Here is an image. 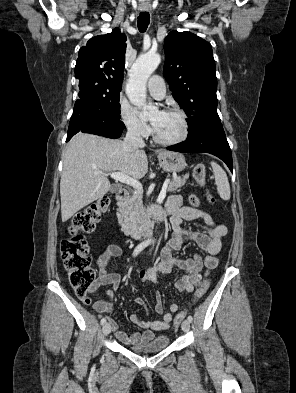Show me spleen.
<instances>
[{"label": "spleen", "mask_w": 296, "mask_h": 393, "mask_svg": "<svg viewBox=\"0 0 296 393\" xmlns=\"http://www.w3.org/2000/svg\"><path fill=\"white\" fill-rule=\"evenodd\" d=\"M211 166L215 176V184L217 191L223 200L230 199V185L225 171L215 162H211Z\"/></svg>", "instance_id": "1"}]
</instances>
